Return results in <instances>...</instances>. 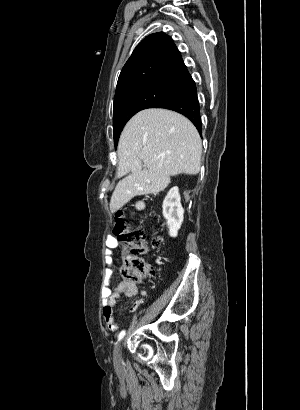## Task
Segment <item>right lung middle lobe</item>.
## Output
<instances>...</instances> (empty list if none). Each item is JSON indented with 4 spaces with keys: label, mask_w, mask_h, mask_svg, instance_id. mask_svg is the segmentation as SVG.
I'll return each mask as SVG.
<instances>
[{
    "label": "right lung middle lobe",
    "mask_w": 300,
    "mask_h": 410,
    "mask_svg": "<svg viewBox=\"0 0 300 410\" xmlns=\"http://www.w3.org/2000/svg\"><path fill=\"white\" fill-rule=\"evenodd\" d=\"M185 82H157L128 87L115 96L113 106L114 143L127 121L137 112L147 108H160L176 98L186 87Z\"/></svg>",
    "instance_id": "right-lung-middle-lobe-1"
}]
</instances>
